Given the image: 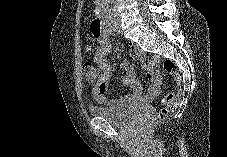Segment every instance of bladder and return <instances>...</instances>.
<instances>
[{
	"label": "bladder",
	"mask_w": 227,
	"mask_h": 157,
	"mask_svg": "<svg viewBox=\"0 0 227 157\" xmlns=\"http://www.w3.org/2000/svg\"><path fill=\"white\" fill-rule=\"evenodd\" d=\"M90 112L97 117L103 118L115 125L126 126L144 112L143 108L136 105L124 107H102L92 106Z\"/></svg>",
	"instance_id": "bladder-1"
}]
</instances>
